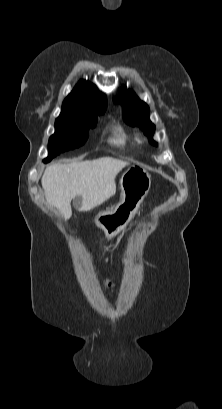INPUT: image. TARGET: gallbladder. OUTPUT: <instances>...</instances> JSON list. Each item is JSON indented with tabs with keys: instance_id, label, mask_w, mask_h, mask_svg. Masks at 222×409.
Segmentation results:
<instances>
[{
	"instance_id": "bac80fb5",
	"label": "gallbladder",
	"mask_w": 222,
	"mask_h": 409,
	"mask_svg": "<svg viewBox=\"0 0 222 409\" xmlns=\"http://www.w3.org/2000/svg\"><path fill=\"white\" fill-rule=\"evenodd\" d=\"M81 203V198L80 197H76L73 201L74 206L78 207Z\"/></svg>"
}]
</instances>
